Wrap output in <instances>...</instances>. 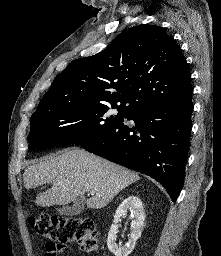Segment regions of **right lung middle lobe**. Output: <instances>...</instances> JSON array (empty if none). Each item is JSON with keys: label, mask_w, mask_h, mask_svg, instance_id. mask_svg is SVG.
<instances>
[{"label": "right lung middle lobe", "mask_w": 221, "mask_h": 256, "mask_svg": "<svg viewBox=\"0 0 221 256\" xmlns=\"http://www.w3.org/2000/svg\"><path fill=\"white\" fill-rule=\"evenodd\" d=\"M111 105L117 108L116 115L111 114L109 104H79L32 115L29 149L81 145L134 114L126 107Z\"/></svg>", "instance_id": "1"}]
</instances>
